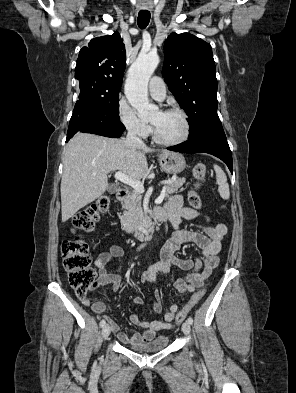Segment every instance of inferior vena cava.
Segmentation results:
<instances>
[{"label": "inferior vena cava", "instance_id": "obj_1", "mask_svg": "<svg viewBox=\"0 0 296 393\" xmlns=\"http://www.w3.org/2000/svg\"><path fill=\"white\" fill-rule=\"evenodd\" d=\"M126 145L129 147L145 146L144 142L137 136L136 132L129 130L126 136Z\"/></svg>", "mask_w": 296, "mask_h": 393}]
</instances>
